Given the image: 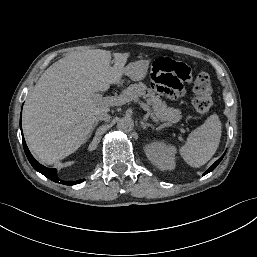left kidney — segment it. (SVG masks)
<instances>
[{"label": "left kidney", "mask_w": 257, "mask_h": 257, "mask_svg": "<svg viewBox=\"0 0 257 257\" xmlns=\"http://www.w3.org/2000/svg\"><path fill=\"white\" fill-rule=\"evenodd\" d=\"M145 154L149 161L160 170H173L175 168L176 148L167 145L164 141H156L145 147Z\"/></svg>", "instance_id": "obj_1"}]
</instances>
